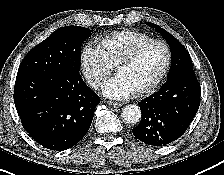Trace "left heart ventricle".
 Segmentation results:
<instances>
[{"label":"left heart ventricle","mask_w":224,"mask_h":175,"mask_svg":"<svg viewBox=\"0 0 224 175\" xmlns=\"http://www.w3.org/2000/svg\"><path fill=\"white\" fill-rule=\"evenodd\" d=\"M165 57V50L161 45H150L133 63L121 67L117 74L136 92L157 77L164 65Z\"/></svg>","instance_id":"b2bd125f"}]
</instances>
